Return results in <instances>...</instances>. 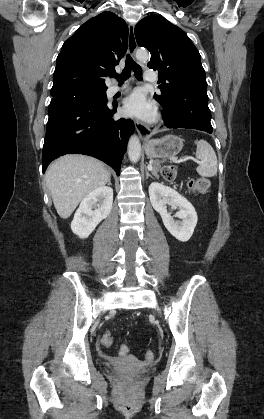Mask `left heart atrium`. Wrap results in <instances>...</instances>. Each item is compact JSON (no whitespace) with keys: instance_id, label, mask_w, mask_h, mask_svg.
Masks as SVG:
<instances>
[{"instance_id":"obj_1","label":"left heart atrium","mask_w":264,"mask_h":419,"mask_svg":"<svg viewBox=\"0 0 264 419\" xmlns=\"http://www.w3.org/2000/svg\"><path fill=\"white\" fill-rule=\"evenodd\" d=\"M124 111L126 114L141 119H151L154 115V107L141 90L134 91L125 101Z\"/></svg>"}]
</instances>
